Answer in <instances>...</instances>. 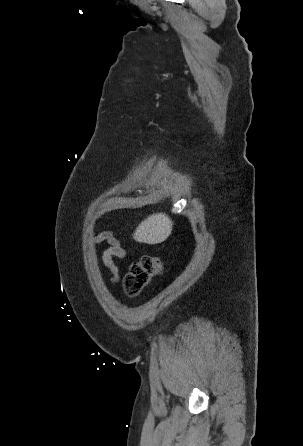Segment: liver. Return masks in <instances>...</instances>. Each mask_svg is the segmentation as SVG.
<instances>
[{"instance_id":"6515ba94","label":"liver","mask_w":303,"mask_h":446,"mask_svg":"<svg viewBox=\"0 0 303 446\" xmlns=\"http://www.w3.org/2000/svg\"><path fill=\"white\" fill-rule=\"evenodd\" d=\"M172 228L173 222L165 213H156L141 222L136 228L133 238L140 243L159 244L170 236Z\"/></svg>"}]
</instances>
